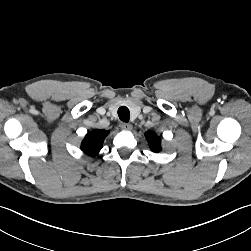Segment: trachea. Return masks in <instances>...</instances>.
<instances>
[{"label":"trachea","mask_w":251,"mask_h":251,"mask_svg":"<svg viewBox=\"0 0 251 251\" xmlns=\"http://www.w3.org/2000/svg\"><path fill=\"white\" fill-rule=\"evenodd\" d=\"M118 116L120 118L121 121L123 122H128L129 118H130V111L127 107L125 106H121L118 109Z\"/></svg>","instance_id":"3493384b"}]
</instances>
